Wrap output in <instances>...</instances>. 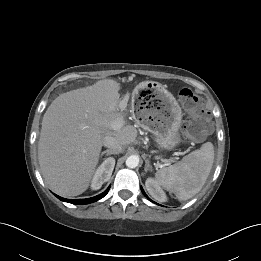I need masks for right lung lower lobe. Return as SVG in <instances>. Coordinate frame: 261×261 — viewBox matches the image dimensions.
Wrapping results in <instances>:
<instances>
[{
    "instance_id": "obj_1",
    "label": "right lung lower lobe",
    "mask_w": 261,
    "mask_h": 261,
    "mask_svg": "<svg viewBox=\"0 0 261 261\" xmlns=\"http://www.w3.org/2000/svg\"><path fill=\"white\" fill-rule=\"evenodd\" d=\"M109 188L108 187L103 193L95 196V197H92V198H87V199H65V198H62V197H59L57 196L60 200L62 201H65V202H69V203H72V204H79V205H83V204H88V203H92V202H95V201H98L99 199L103 198L109 191Z\"/></svg>"
}]
</instances>
